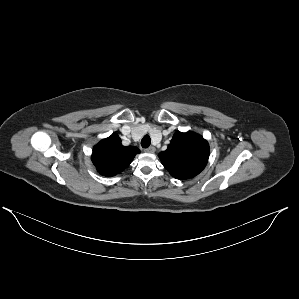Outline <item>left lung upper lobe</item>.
<instances>
[{
  "label": "left lung upper lobe",
  "instance_id": "1",
  "mask_svg": "<svg viewBox=\"0 0 299 299\" xmlns=\"http://www.w3.org/2000/svg\"><path fill=\"white\" fill-rule=\"evenodd\" d=\"M209 157L208 142L194 132H176L168 148L159 158L170 174L180 180L198 175L206 166Z\"/></svg>",
  "mask_w": 299,
  "mask_h": 299
}]
</instances>
